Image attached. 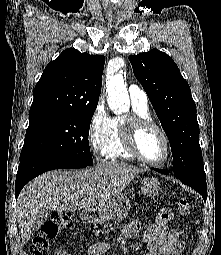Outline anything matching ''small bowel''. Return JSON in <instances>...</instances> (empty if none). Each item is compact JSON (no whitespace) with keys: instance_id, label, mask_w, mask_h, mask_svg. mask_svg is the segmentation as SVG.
Returning a JSON list of instances; mask_svg holds the SVG:
<instances>
[{"instance_id":"c3829d8e","label":"small bowel","mask_w":221,"mask_h":255,"mask_svg":"<svg viewBox=\"0 0 221 255\" xmlns=\"http://www.w3.org/2000/svg\"><path fill=\"white\" fill-rule=\"evenodd\" d=\"M139 230L140 223L133 221L123 227L121 236L132 238ZM142 241L147 246V255H182L185 247L178 232L168 228L164 232H155L150 228L143 235ZM109 249V242L99 241L88 247L86 255H104Z\"/></svg>"}]
</instances>
